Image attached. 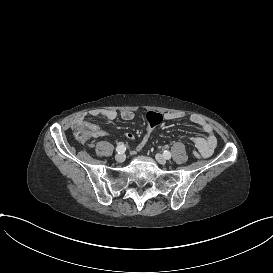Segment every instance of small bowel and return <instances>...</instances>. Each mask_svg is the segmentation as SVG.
<instances>
[{"instance_id": "c3829d8e", "label": "small bowel", "mask_w": 273, "mask_h": 273, "mask_svg": "<svg viewBox=\"0 0 273 273\" xmlns=\"http://www.w3.org/2000/svg\"><path fill=\"white\" fill-rule=\"evenodd\" d=\"M88 114L90 117H101L109 121L115 120L118 117L123 121H131L135 118V113L131 110H123L120 113L112 109L92 110ZM181 118H183V114L177 112H167L164 114V119L167 121H175ZM190 121L198 126L199 129L204 133L203 136H195L192 138L195 148L200 152L202 157H210L217 145V138L212 125L199 115H191ZM103 131V137L108 135L107 130L103 129ZM84 132L90 139H95L99 135V130L93 123L86 124L84 127ZM125 136L129 140L135 139V135L132 132H127Z\"/></svg>"}]
</instances>
